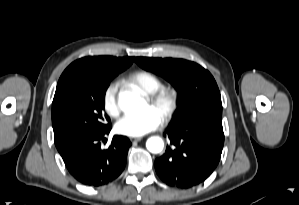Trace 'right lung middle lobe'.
<instances>
[{"label":"right lung middle lobe","instance_id":"obj_1","mask_svg":"<svg viewBox=\"0 0 299 205\" xmlns=\"http://www.w3.org/2000/svg\"><path fill=\"white\" fill-rule=\"evenodd\" d=\"M117 74L104 76L69 75L52 104L55 145L60 150L70 140L102 131L105 92ZM107 121L109 118L105 115Z\"/></svg>","mask_w":299,"mask_h":205}]
</instances>
